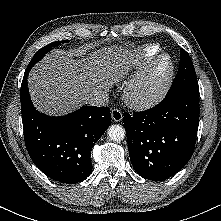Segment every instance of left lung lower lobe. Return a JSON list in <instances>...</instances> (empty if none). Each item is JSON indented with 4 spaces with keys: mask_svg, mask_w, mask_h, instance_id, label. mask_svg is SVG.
<instances>
[{
    "mask_svg": "<svg viewBox=\"0 0 221 221\" xmlns=\"http://www.w3.org/2000/svg\"><path fill=\"white\" fill-rule=\"evenodd\" d=\"M130 160L142 177L165 180L191 158L199 125V91L166 97L155 107L124 113Z\"/></svg>",
    "mask_w": 221,
    "mask_h": 221,
    "instance_id": "0a47b994",
    "label": "left lung lower lobe"
}]
</instances>
